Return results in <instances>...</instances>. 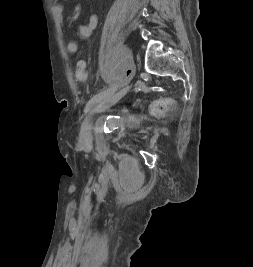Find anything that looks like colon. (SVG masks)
<instances>
[{
  "instance_id": "1",
  "label": "colon",
  "mask_w": 253,
  "mask_h": 267,
  "mask_svg": "<svg viewBox=\"0 0 253 267\" xmlns=\"http://www.w3.org/2000/svg\"><path fill=\"white\" fill-rule=\"evenodd\" d=\"M75 76L78 80L83 81L87 78V67L85 62L79 61L76 65ZM172 107L171 100H161L154 105L156 111H167Z\"/></svg>"
}]
</instances>
